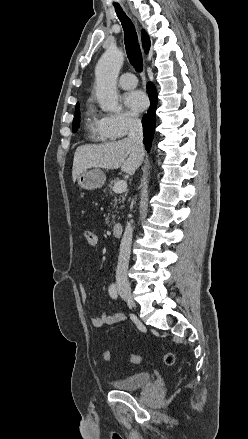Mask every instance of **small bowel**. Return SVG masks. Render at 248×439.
Instances as JSON below:
<instances>
[{
  "label": "small bowel",
  "instance_id": "1",
  "mask_svg": "<svg viewBox=\"0 0 248 439\" xmlns=\"http://www.w3.org/2000/svg\"><path fill=\"white\" fill-rule=\"evenodd\" d=\"M80 296L83 301L86 300L87 294L82 283L79 284ZM125 319L124 315L120 313L115 314H106L104 311L96 315L91 319V323L96 328H101L105 326H111L116 323H119Z\"/></svg>",
  "mask_w": 248,
  "mask_h": 439
}]
</instances>
